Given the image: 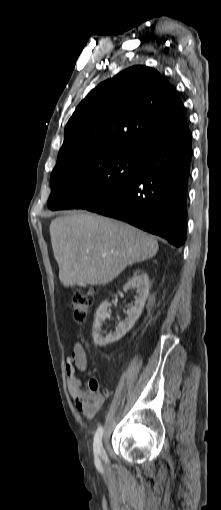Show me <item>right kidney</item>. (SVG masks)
<instances>
[{
    "label": "right kidney",
    "instance_id": "right-kidney-1",
    "mask_svg": "<svg viewBox=\"0 0 221 510\" xmlns=\"http://www.w3.org/2000/svg\"><path fill=\"white\" fill-rule=\"evenodd\" d=\"M135 288L138 294L134 306L127 310V317L124 321H119L116 331L106 336L102 335L101 325L105 319L110 317L108 312V302L104 301L98 307L93 324V339L96 346H106L121 339L138 320L144 308L149 294V277L146 273H136L123 287L124 290Z\"/></svg>",
    "mask_w": 221,
    "mask_h": 510
}]
</instances>
